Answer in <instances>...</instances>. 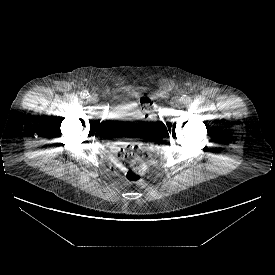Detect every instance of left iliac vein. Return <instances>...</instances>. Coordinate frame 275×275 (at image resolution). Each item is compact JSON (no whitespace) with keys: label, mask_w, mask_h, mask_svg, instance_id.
Returning <instances> with one entry per match:
<instances>
[{"label":"left iliac vein","mask_w":275,"mask_h":275,"mask_svg":"<svg viewBox=\"0 0 275 275\" xmlns=\"http://www.w3.org/2000/svg\"><path fill=\"white\" fill-rule=\"evenodd\" d=\"M181 99L179 98V97H174V98H172V100H171V105L173 106V107H177V106H179L180 104H181Z\"/></svg>","instance_id":"obj_1"}]
</instances>
